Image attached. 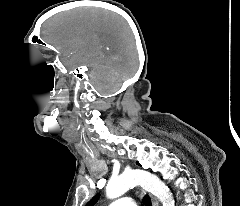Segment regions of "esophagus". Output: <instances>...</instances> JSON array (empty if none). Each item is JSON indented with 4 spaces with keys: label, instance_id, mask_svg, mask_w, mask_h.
I'll return each instance as SVG.
<instances>
[{
    "label": "esophagus",
    "instance_id": "34e87169",
    "mask_svg": "<svg viewBox=\"0 0 240 206\" xmlns=\"http://www.w3.org/2000/svg\"><path fill=\"white\" fill-rule=\"evenodd\" d=\"M150 198H151L152 206H159V202L156 197H154L153 195H150Z\"/></svg>",
    "mask_w": 240,
    "mask_h": 206
}]
</instances>
